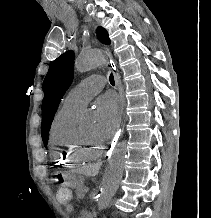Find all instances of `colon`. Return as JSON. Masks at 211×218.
<instances>
[{
	"mask_svg": "<svg viewBox=\"0 0 211 218\" xmlns=\"http://www.w3.org/2000/svg\"><path fill=\"white\" fill-rule=\"evenodd\" d=\"M56 198L60 204H70L73 200V194L71 189L66 185H59L56 190Z\"/></svg>",
	"mask_w": 211,
	"mask_h": 218,
	"instance_id": "obj_1",
	"label": "colon"
}]
</instances>
